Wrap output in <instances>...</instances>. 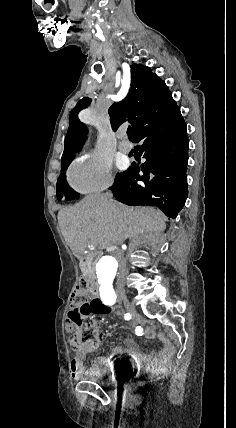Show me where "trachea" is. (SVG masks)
<instances>
[{
  "label": "trachea",
  "mask_w": 236,
  "mask_h": 428,
  "mask_svg": "<svg viewBox=\"0 0 236 428\" xmlns=\"http://www.w3.org/2000/svg\"><path fill=\"white\" fill-rule=\"evenodd\" d=\"M131 133V127L127 128V135H129Z\"/></svg>",
  "instance_id": "obj_1"
}]
</instances>
